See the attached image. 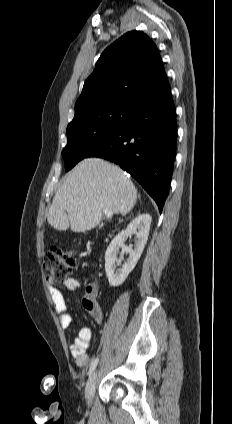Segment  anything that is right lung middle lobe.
I'll use <instances>...</instances> for the list:
<instances>
[{"label":"right lung middle lobe","mask_w":232,"mask_h":424,"mask_svg":"<svg viewBox=\"0 0 232 424\" xmlns=\"http://www.w3.org/2000/svg\"><path fill=\"white\" fill-rule=\"evenodd\" d=\"M130 109L129 105L105 104L75 114L67 127L68 143L62 151L66 171L122 127Z\"/></svg>","instance_id":"dd1d6c3e"}]
</instances>
